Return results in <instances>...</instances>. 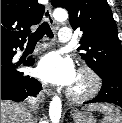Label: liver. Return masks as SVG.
<instances>
[{
  "label": "liver",
  "mask_w": 122,
  "mask_h": 123,
  "mask_svg": "<svg viewBox=\"0 0 122 123\" xmlns=\"http://www.w3.org/2000/svg\"><path fill=\"white\" fill-rule=\"evenodd\" d=\"M29 110L23 104L1 100V123H32Z\"/></svg>",
  "instance_id": "liver-1"
}]
</instances>
